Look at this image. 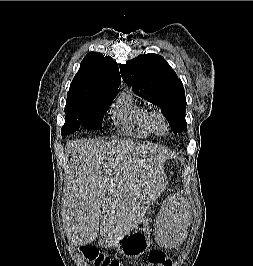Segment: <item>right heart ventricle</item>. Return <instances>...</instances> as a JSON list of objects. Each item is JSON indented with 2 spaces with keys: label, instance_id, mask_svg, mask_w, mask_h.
<instances>
[{
  "label": "right heart ventricle",
  "instance_id": "right-heart-ventricle-1",
  "mask_svg": "<svg viewBox=\"0 0 253 266\" xmlns=\"http://www.w3.org/2000/svg\"><path fill=\"white\" fill-rule=\"evenodd\" d=\"M113 118L125 133L134 137L146 138L152 133L148 112L134 103L130 95H124L119 100Z\"/></svg>",
  "mask_w": 253,
  "mask_h": 266
}]
</instances>
